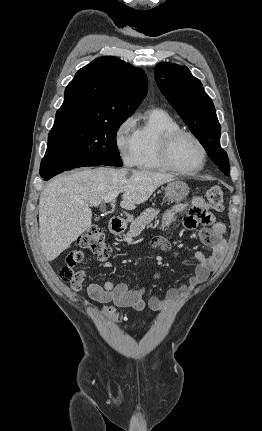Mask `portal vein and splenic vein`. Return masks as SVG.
<instances>
[{
  "mask_svg": "<svg viewBox=\"0 0 262 431\" xmlns=\"http://www.w3.org/2000/svg\"><path fill=\"white\" fill-rule=\"evenodd\" d=\"M120 191H113L110 194H108L107 196H105L104 201L106 203L112 202L118 195H119Z\"/></svg>",
  "mask_w": 262,
  "mask_h": 431,
  "instance_id": "18ae733b",
  "label": "portal vein and splenic vein"
}]
</instances>
